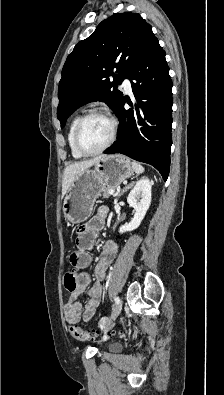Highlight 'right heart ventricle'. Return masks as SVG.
Listing matches in <instances>:
<instances>
[{
    "label": "right heart ventricle",
    "mask_w": 224,
    "mask_h": 395,
    "mask_svg": "<svg viewBox=\"0 0 224 395\" xmlns=\"http://www.w3.org/2000/svg\"><path fill=\"white\" fill-rule=\"evenodd\" d=\"M78 119H79V117H75L72 119V121L70 122V125H69L68 135H67L68 146H69L72 157L75 159H80L83 157L76 150V148L74 146V131H75V127H76V123H77Z\"/></svg>",
    "instance_id": "e07e8e85"
}]
</instances>
